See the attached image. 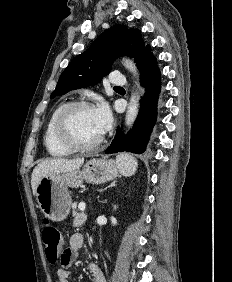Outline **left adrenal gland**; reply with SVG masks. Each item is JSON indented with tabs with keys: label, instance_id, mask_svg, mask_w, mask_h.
I'll return each instance as SVG.
<instances>
[{
	"label": "left adrenal gland",
	"instance_id": "obj_1",
	"mask_svg": "<svg viewBox=\"0 0 232 282\" xmlns=\"http://www.w3.org/2000/svg\"><path fill=\"white\" fill-rule=\"evenodd\" d=\"M116 186V181H113L110 185H108L106 188H104L103 190H102V192H104L105 190H107L108 188H110V187H115Z\"/></svg>",
	"mask_w": 232,
	"mask_h": 282
}]
</instances>
